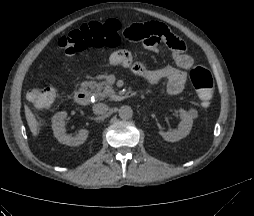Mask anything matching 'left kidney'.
I'll return each instance as SVG.
<instances>
[{"instance_id": "5707ae66", "label": "left kidney", "mask_w": 254, "mask_h": 216, "mask_svg": "<svg viewBox=\"0 0 254 216\" xmlns=\"http://www.w3.org/2000/svg\"><path fill=\"white\" fill-rule=\"evenodd\" d=\"M179 113L182 120L177 129L168 132L159 131L162 138L168 142H177L181 140L186 137L192 129L193 119L191 115L184 109H179Z\"/></svg>"}]
</instances>
